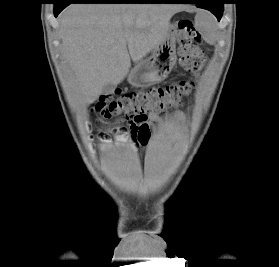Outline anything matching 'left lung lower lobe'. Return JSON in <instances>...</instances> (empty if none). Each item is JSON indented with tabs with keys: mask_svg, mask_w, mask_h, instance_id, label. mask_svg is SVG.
<instances>
[{
	"mask_svg": "<svg viewBox=\"0 0 279 267\" xmlns=\"http://www.w3.org/2000/svg\"><path fill=\"white\" fill-rule=\"evenodd\" d=\"M164 3H196L199 8H204L212 12L218 19L222 17L224 0H172Z\"/></svg>",
	"mask_w": 279,
	"mask_h": 267,
	"instance_id": "1",
	"label": "left lung lower lobe"
}]
</instances>
